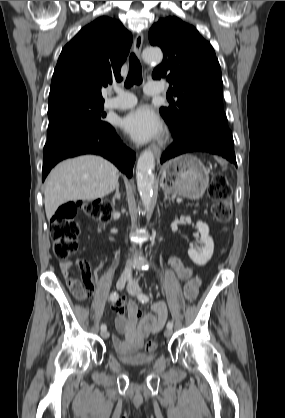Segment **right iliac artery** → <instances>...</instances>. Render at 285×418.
<instances>
[{"label":"right iliac artery","mask_w":285,"mask_h":418,"mask_svg":"<svg viewBox=\"0 0 285 418\" xmlns=\"http://www.w3.org/2000/svg\"><path fill=\"white\" fill-rule=\"evenodd\" d=\"M118 299H119V293L118 292L115 291V292L111 293L110 300L112 302H116ZM105 330H107V326L105 324H102L101 325V331H105Z\"/></svg>","instance_id":"1"}]
</instances>
